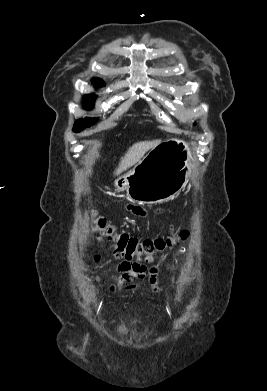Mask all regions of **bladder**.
Wrapping results in <instances>:
<instances>
[{
    "label": "bladder",
    "mask_w": 267,
    "mask_h": 391,
    "mask_svg": "<svg viewBox=\"0 0 267 391\" xmlns=\"http://www.w3.org/2000/svg\"><path fill=\"white\" fill-rule=\"evenodd\" d=\"M118 330H119V333H121V334L127 333V329L123 325L119 326Z\"/></svg>",
    "instance_id": "bladder-1"
}]
</instances>
